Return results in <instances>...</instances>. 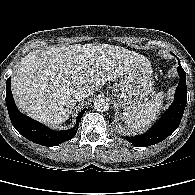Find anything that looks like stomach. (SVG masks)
Returning a JSON list of instances; mask_svg holds the SVG:
<instances>
[{
  "label": "stomach",
  "mask_w": 195,
  "mask_h": 195,
  "mask_svg": "<svg viewBox=\"0 0 195 195\" xmlns=\"http://www.w3.org/2000/svg\"><path fill=\"white\" fill-rule=\"evenodd\" d=\"M153 70L145 59L132 65L125 77L114 86V94L124 111L141 107L153 93Z\"/></svg>",
  "instance_id": "0dacf381"
}]
</instances>
